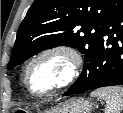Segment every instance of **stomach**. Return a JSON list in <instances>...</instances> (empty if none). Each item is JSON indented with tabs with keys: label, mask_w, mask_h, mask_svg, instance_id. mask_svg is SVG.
<instances>
[{
	"label": "stomach",
	"mask_w": 123,
	"mask_h": 113,
	"mask_svg": "<svg viewBox=\"0 0 123 113\" xmlns=\"http://www.w3.org/2000/svg\"><path fill=\"white\" fill-rule=\"evenodd\" d=\"M94 108L95 104L89 99L73 98L60 103L47 113H90Z\"/></svg>",
	"instance_id": "stomach-1"
}]
</instances>
